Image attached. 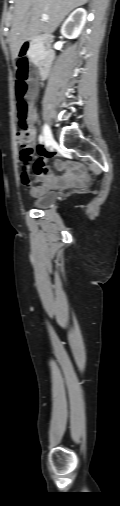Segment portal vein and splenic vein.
Instances as JSON below:
<instances>
[{"label": "portal vein and splenic vein", "mask_w": 120, "mask_h": 506, "mask_svg": "<svg viewBox=\"0 0 120 506\" xmlns=\"http://www.w3.org/2000/svg\"><path fill=\"white\" fill-rule=\"evenodd\" d=\"M41 19H42L43 21H47V20L49 19V17H48V15L43 14V15L41 16Z\"/></svg>", "instance_id": "1"}]
</instances>
